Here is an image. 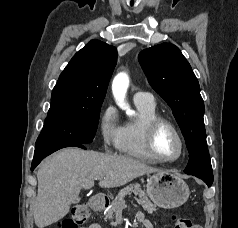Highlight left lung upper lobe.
<instances>
[{
    "label": "left lung upper lobe",
    "mask_w": 238,
    "mask_h": 228,
    "mask_svg": "<svg viewBox=\"0 0 238 228\" xmlns=\"http://www.w3.org/2000/svg\"><path fill=\"white\" fill-rule=\"evenodd\" d=\"M139 63L152 88L173 111L189 151L184 172L212 175L204 125V102L198 80L179 48L163 43L139 53Z\"/></svg>",
    "instance_id": "left-lung-upper-lobe-1"
}]
</instances>
